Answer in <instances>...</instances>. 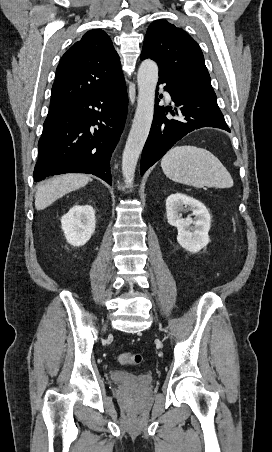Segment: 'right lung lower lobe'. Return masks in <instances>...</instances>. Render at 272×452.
<instances>
[{
  "label": "right lung lower lobe",
  "instance_id": "98d812e1",
  "mask_svg": "<svg viewBox=\"0 0 272 452\" xmlns=\"http://www.w3.org/2000/svg\"><path fill=\"white\" fill-rule=\"evenodd\" d=\"M127 105L123 79L72 106L50 111L38 143L34 181L70 172L93 174L112 185L110 158L124 128Z\"/></svg>",
  "mask_w": 272,
  "mask_h": 452
}]
</instances>
